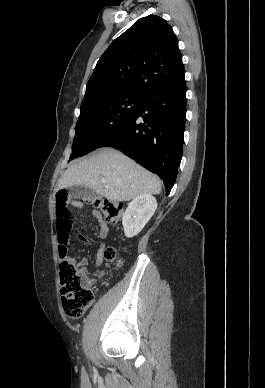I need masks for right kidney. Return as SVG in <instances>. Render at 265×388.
<instances>
[{"instance_id": "1", "label": "right kidney", "mask_w": 265, "mask_h": 388, "mask_svg": "<svg viewBox=\"0 0 265 388\" xmlns=\"http://www.w3.org/2000/svg\"><path fill=\"white\" fill-rule=\"evenodd\" d=\"M156 208V198L151 196V194H140V196L134 198L128 204V208L122 218L126 238L137 236L143 230L145 224L152 218Z\"/></svg>"}]
</instances>
